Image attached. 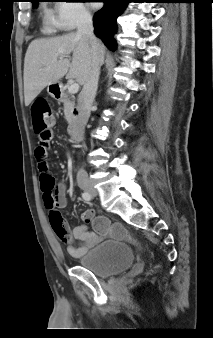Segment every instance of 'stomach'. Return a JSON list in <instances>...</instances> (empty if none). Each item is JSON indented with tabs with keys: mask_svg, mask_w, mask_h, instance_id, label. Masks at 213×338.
<instances>
[{
	"mask_svg": "<svg viewBox=\"0 0 213 338\" xmlns=\"http://www.w3.org/2000/svg\"><path fill=\"white\" fill-rule=\"evenodd\" d=\"M60 85L55 83L48 86L47 91L50 95L54 96L55 92L59 90Z\"/></svg>",
	"mask_w": 213,
	"mask_h": 338,
	"instance_id": "1",
	"label": "stomach"
}]
</instances>
